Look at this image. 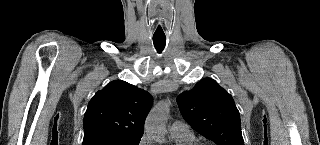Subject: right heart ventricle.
<instances>
[{
  "instance_id": "right-heart-ventricle-1",
  "label": "right heart ventricle",
  "mask_w": 320,
  "mask_h": 145,
  "mask_svg": "<svg viewBox=\"0 0 320 145\" xmlns=\"http://www.w3.org/2000/svg\"><path fill=\"white\" fill-rule=\"evenodd\" d=\"M171 138L176 145H193L197 142L193 133L171 134Z\"/></svg>"
}]
</instances>
